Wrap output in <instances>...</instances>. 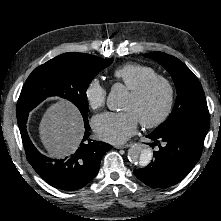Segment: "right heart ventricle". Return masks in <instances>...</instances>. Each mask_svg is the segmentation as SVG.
Segmentation results:
<instances>
[{
  "mask_svg": "<svg viewBox=\"0 0 221 221\" xmlns=\"http://www.w3.org/2000/svg\"><path fill=\"white\" fill-rule=\"evenodd\" d=\"M157 75L154 68L139 63H126L118 66L113 76L121 81L129 90L137 87L146 79Z\"/></svg>",
  "mask_w": 221,
  "mask_h": 221,
  "instance_id": "e07e8e85",
  "label": "right heart ventricle"
}]
</instances>
